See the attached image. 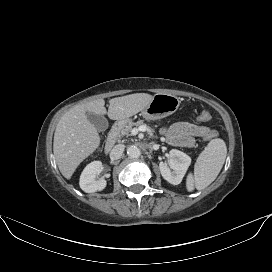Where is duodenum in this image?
<instances>
[{"label":"duodenum","instance_id":"1","mask_svg":"<svg viewBox=\"0 0 272 272\" xmlns=\"http://www.w3.org/2000/svg\"><path fill=\"white\" fill-rule=\"evenodd\" d=\"M122 127H123L122 121H116L113 124L112 129L108 135V138L104 146L105 153H109L112 150V148L115 146L118 139V134L120 130L122 129Z\"/></svg>","mask_w":272,"mask_h":272}]
</instances>
